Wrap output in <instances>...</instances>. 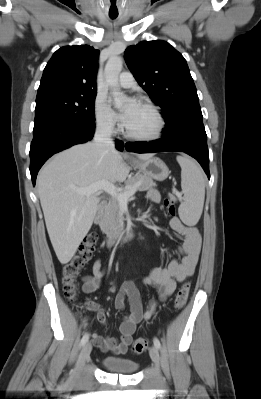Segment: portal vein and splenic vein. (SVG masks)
Returning <instances> with one entry per match:
<instances>
[{
  "label": "portal vein and splenic vein",
  "mask_w": 261,
  "mask_h": 399,
  "mask_svg": "<svg viewBox=\"0 0 261 399\" xmlns=\"http://www.w3.org/2000/svg\"><path fill=\"white\" fill-rule=\"evenodd\" d=\"M136 188L137 185L133 186L126 192H121V190L117 189L112 183L101 181L86 188H76V191L84 195H91L98 191H105L112 197L116 198L119 203H126L128 199L135 194Z\"/></svg>",
  "instance_id": "obj_1"
}]
</instances>
